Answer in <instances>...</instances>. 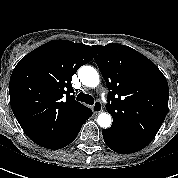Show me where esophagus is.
I'll use <instances>...</instances> for the list:
<instances>
[{
    "instance_id": "obj_1",
    "label": "esophagus",
    "mask_w": 178,
    "mask_h": 178,
    "mask_svg": "<svg viewBox=\"0 0 178 178\" xmlns=\"http://www.w3.org/2000/svg\"><path fill=\"white\" fill-rule=\"evenodd\" d=\"M93 113L98 114L102 111V104L99 101H96L95 104L91 107Z\"/></svg>"
}]
</instances>
